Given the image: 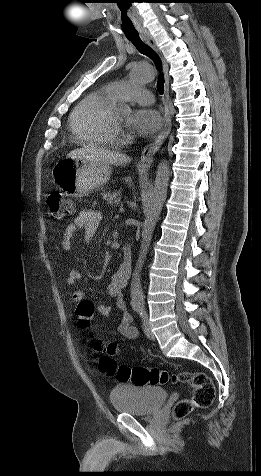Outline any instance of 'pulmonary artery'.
Here are the masks:
<instances>
[{"mask_svg": "<svg viewBox=\"0 0 261 476\" xmlns=\"http://www.w3.org/2000/svg\"><path fill=\"white\" fill-rule=\"evenodd\" d=\"M106 90L116 100L137 102L149 105L154 102V95L147 89L127 82H115L107 86Z\"/></svg>", "mask_w": 261, "mask_h": 476, "instance_id": "pulmonary-artery-1", "label": "pulmonary artery"}]
</instances>
